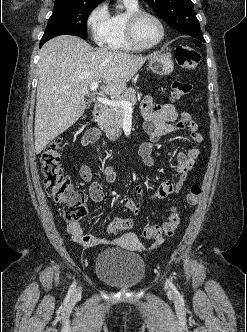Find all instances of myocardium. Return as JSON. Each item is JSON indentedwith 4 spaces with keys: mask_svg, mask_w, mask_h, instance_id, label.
Returning <instances> with one entry per match:
<instances>
[{
    "mask_svg": "<svg viewBox=\"0 0 247 332\" xmlns=\"http://www.w3.org/2000/svg\"><path fill=\"white\" fill-rule=\"evenodd\" d=\"M144 16H150L154 18L161 28V37L155 43L150 45H143L139 43V41L136 38V33H135L136 25L138 21ZM125 34L130 45L133 46L136 50H149L157 47L164 41L166 36V28L162 19L157 14L151 11L140 9L128 15L125 23Z\"/></svg>",
    "mask_w": 247,
    "mask_h": 332,
    "instance_id": "obj_1",
    "label": "myocardium"
}]
</instances>
